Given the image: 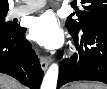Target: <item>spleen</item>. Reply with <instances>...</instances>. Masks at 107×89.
I'll return each mask as SVG.
<instances>
[{"label": "spleen", "mask_w": 107, "mask_h": 89, "mask_svg": "<svg viewBox=\"0 0 107 89\" xmlns=\"http://www.w3.org/2000/svg\"><path fill=\"white\" fill-rule=\"evenodd\" d=\"M78 89H106L107 87L103 84H78L76 85Z\"/></svg>", "instance_id": "spleen-1"}]
</instances>
